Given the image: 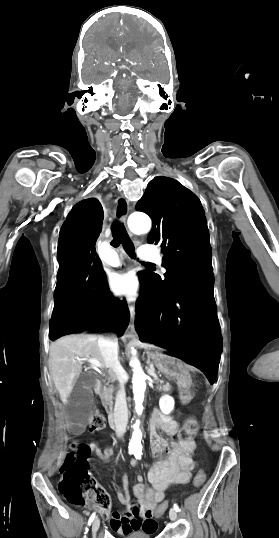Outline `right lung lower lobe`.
Masks as SVG:
<instances>
[{
  "mask_svg": "<svg viewBox=\"0 0 279 538\" xmlns=\"http://www.w3.org/2000/svg\"><path fill=\"white\" fill-rule=\"evenodd\" d=\"M103 217L99 201L90 198L76 204L61 227L49 333L53 340L70 333L104 328L123 334L128 326L127 304L111 294L95 252Z\"/></svg>",
  "mask_w": 279,
  "mask_h": 538,
  "instance_id": "98d812e1",
  "label": "right lung lower lobe"
}]
</instances>
